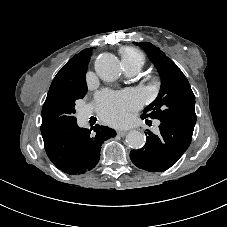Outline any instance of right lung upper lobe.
Wrapping results in <instances>:
<instances>
[{
	"mask_svg": "<svg viewBox=\"0 0 227 227\" xmlns=\"http://www.w3.org/2000/svg\"><path fill=\"white\" fill-rule=\"evenodd\" d=\"M92 48L82 50L71 58L56 74L51 87L70 84L72 86L86 85L85 74L90 60Z\"/></svg>",
	"mask_w": 227,
	"mask_h": 227,
	"instance_id": "obj_1",
	"label": "right lung upper lobe"
}]
</instances>
